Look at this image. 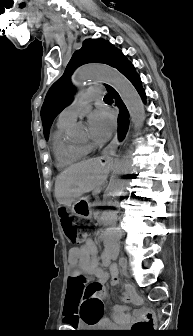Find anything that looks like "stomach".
<instances>
[{
	"instance_id": "1",
	"label": "stomach",
	"mask_w": 193,
	"mask_h": 336,
	"mask_svg": "<svg viewBox=\"0 0 193 336\" xmlns=\"http://www.w3.org/2000/svg\"><path fill=\"white\" fill-rule=\"evenodd\" d=\"M90 203L86 197L75 200L71 206L72 211L79 217L89 218L91 215Z\"/></svg>"
}]
</instances>
